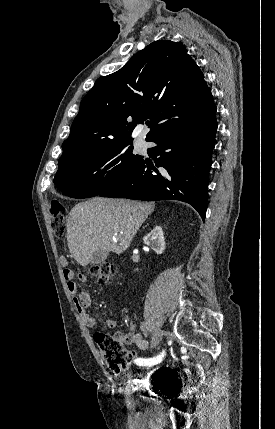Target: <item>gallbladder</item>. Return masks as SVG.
<instances>
[{
    "mask_svg": "<svg viewBox=\"0 0 275 429\" xmlns=\"http://www.w3.org/2000/svg\"><path fill=\"white\" fill-rule=\"evenodd\" d=\"M108 255H109L108 251H102V250L96 251L91 257L90 262L91 264H100L107 259Z\"/></svg>",
    "mask_w": 275,
    "mask_h": 429,
    "instance_id": "gallbladder-1",
    "label": "gallbladder"
}]
</instances>
